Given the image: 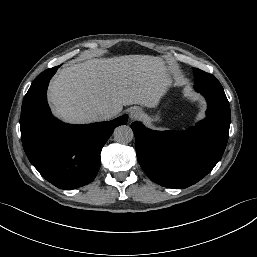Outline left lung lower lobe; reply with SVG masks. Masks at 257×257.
Wrapping results in <instances>:
<instances>
[{
  "label": "left lung lower lobe",
  "mask_w": 257,
  "mask_h": 257,
  "mask_svg": "<svg viewBox=\"0 0 257 257\" xmlns=\"http://www.w3.org/2000/svg\"><path fill=\"white\" fill-rule=\"evenodd\" d=\"M208 102L207 117L186 132L153 131L131 124L139 164L154 182L169 188L189 187L206 176L225 150L230 105L224 92L198 91Z\"/></svg>",
  "instance_id": "1"
}]
</instances>
